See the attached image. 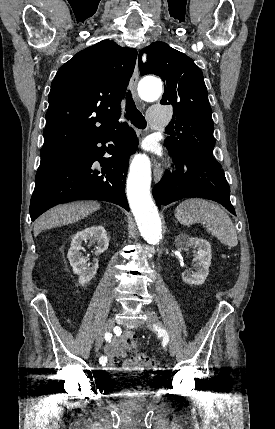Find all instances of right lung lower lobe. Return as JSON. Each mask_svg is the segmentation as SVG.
<instances>
[{"mask_svg":"<svg viewBox=\"0 0 275 429\" xmlns=\"http://www.w3.org/2000/svg\"><path fill=\"white\" fill-rule=\"evenodd\" d=\"M108 142L111 144L106 147ZM136 149L134 130L121 124L114 130L41 157L30 202L31 220L57 204L75 200L108 201L129 211L125 181L129 157ZM106 152L111 157L104 158ZM95 161L102 168H95Z\"/></svg>","mask_w":275,"mask_h":429,"instance_id":"right-lung-lower-lobe-1","label":"right lung lower lobe"}]
</instances>
